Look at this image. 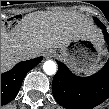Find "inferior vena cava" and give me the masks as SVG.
Masks as SVG:
<instances>
[{"instance_id":"obj_1","label":"inferior vena cava","mask_w":109,"mask_h":109,"mask_svg":"<svg viewBox=\"0 0 109 109\" xmlns=\"http://www.w3.org/2000/svg\"><path fill=\"white\" fill-rule=\"evenodd\" d=\"M19 55L22 59L27 60V59H32L36 57V54L34 51L30 49H22L19 51Z\"/></svg>"}]
</instances>
